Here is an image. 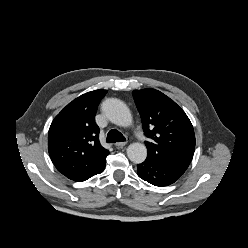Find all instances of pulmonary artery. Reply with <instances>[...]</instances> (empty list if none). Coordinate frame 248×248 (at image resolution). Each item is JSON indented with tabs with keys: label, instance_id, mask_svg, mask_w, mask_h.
<instances>
[{
	"label": "pulmonary artery",
	"instance_id": "1",
	"mask_svg": "<svg viewBox=\"0 0 248 248\" xmlns=\"http://www.w3.org/2000/svg\"><path fill=\"white\" fill-rule=\"evenodd\" d=\"M139 139H140L141 141H144L146 138H145L144 136H139Z\"/></svg>",
	"mask_w": 248,
	"mask_h": 248
}]
</instances>
